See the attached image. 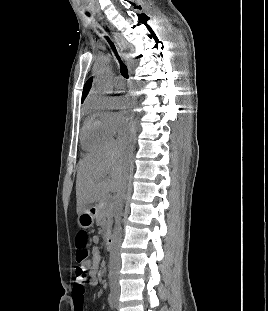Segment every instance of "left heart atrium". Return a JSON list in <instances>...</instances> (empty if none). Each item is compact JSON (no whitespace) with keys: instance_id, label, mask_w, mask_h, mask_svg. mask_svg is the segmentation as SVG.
Instances as JSON below:
<instances>
[{"instance_id":"obj_1","label":"left heart atrium","mask_w":268,"mask_h":311,"mask_svg":"<svg viewBox=\"0 0 268 311\" xmlns=\"http://www.w3.org/2000/svg\"><path fill=\"white\" fill-rule=\"evenodd\" d=\"M114 105L119 109H127L130 106V101L125 97H117L114 99Z\"/></svg>"}]
</instances>
